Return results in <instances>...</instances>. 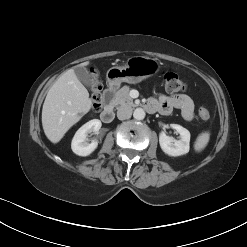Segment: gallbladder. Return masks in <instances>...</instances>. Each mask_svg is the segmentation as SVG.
Wrapping results in <instances>:
<instances>
[{
    "instance_id": "obj_1",
    "label": "gallbladder",
    "mask_w": 247,
    "mask_h": 247,
    "mask_svg": "<svg viewBox=\"0 0 247 247\" xmlns=\"http://www.w3.org/2000/svg\"><path fill=\"white\" fill-rule=\"evenodd\" d=\"M74 72L77 78L87 87L91 88L93 86V80L85 67L76 66Z\"/></svg>"
}]
</instances>
